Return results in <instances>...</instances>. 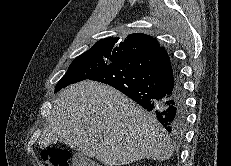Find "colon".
I'll return each mask as SVG.
<instances>
[{"mask_svg":"<svg viewBox=\"0 0 231 166\" xmlns=\"http://www.w3.org/2000/svg\"><path fill=\"white\" fill-rule=\"evenodd\" d=\"M44 166H69L70 154L60 148H50L41 154ZM84 166H97L93 163Z\"/></svg>","mask_w":231,"mask_h":166,"instance_id":"obj_1","label":"colon"}]
</instances>
